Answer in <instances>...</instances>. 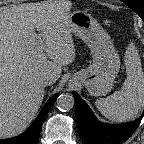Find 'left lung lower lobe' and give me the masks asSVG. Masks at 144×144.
<instances>
[{"label":"left lung lower lobe","instance_id":"left-lung-lower-lobe-1","mask_svg":"<svg viewBox=\"0 0 144 144\" xmlns=\"http://www.w3.org/2000/svg\"><path fill=\"white\" fill-rule=\"evenodd\" d=\"M75 99L76 120L80 137L86 144H122L136 130L144 116L134 122L110 125L98 121L88 105L73 92Z\"/></svg>","mask_w":144,"mask_h":144}]
</instances>
